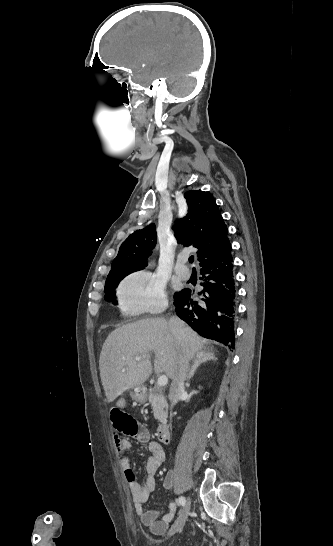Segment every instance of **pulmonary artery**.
<instances>
[{
	"instance_id": "1",
	"label": "pulmonary artery",
	"mask_w": 333,
	"mask_h": 546,
	"mask_svg": "<svg viewBox=\"0 0 333 546\" xmlns=\"http://www.w3.org/2000/svg\"><path fill=\"white\" fill-rule=\"evenodd\" d=\"M187 259L185 257H180L174 267L175 273L182 279L186 280L191 276V271L185 265Z\"/></svg>"
}]
</instances>
